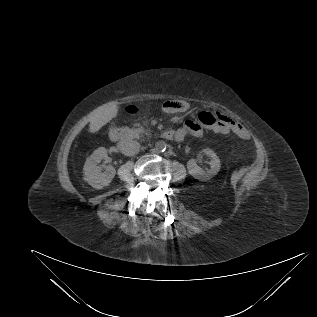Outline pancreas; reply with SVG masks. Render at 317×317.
I'll return each instance as SVG.
<instances>
[{
    "label": "pancreas",
    "instance_id": "cf45deb5",
    "mask_svg": "<svg viewBox=\"0 0 317 317\" xmlns=\"http://www.w3.org/2000/svg\"><path fill=\"white\" fill-rule=\"evenodd\" d=\"M135 126H137L138 128H134L131 130V132L135 135V136H139L143 133H146V131L144 130V128L141 126L139 127L140 125L139 124H135Z\"/></svg>",
    "mask_w": 317,
    "mask_h": 317
}]
</instances>
